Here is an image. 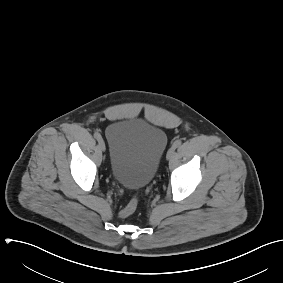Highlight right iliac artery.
<instances>
[{"instance_id": "obj_1", "label": "right iliac artery", "mask_w": 283, "mask_h": 283, "mask_svg": "<svg viewBox=\"0 0 283 283\" xmlns=\"http://www.w3.org/2000/svg\"><path fill=\"white\" fill-rule=\"evenodd\" d=\"M94 137H95V139H97L98 141L101 139V135H100L98 132H96V133L94 134Z\"/></svg>"}]
</instances>
